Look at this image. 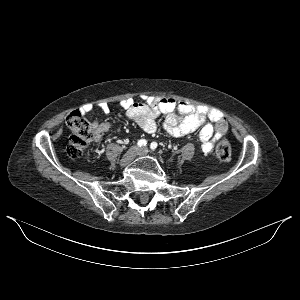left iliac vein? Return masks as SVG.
I'll return each mask as SVG.
<instances>
[{
	"label": "left iliac vein",
	"instance_id": "obj_1",
	"mask_svg": "<svg viewBox=\"0 0 300 300\" xmlns=\"http://www.w3.org/2000/svg\"><path fill=\"white\" fill-rule=\"evenodd\" d=\"M148 154L147 148H140L138 151V155L140 156H146Z\"/></svg>",
	"mask_w": 300,
	"mask_h": 300
}]
</instances>
